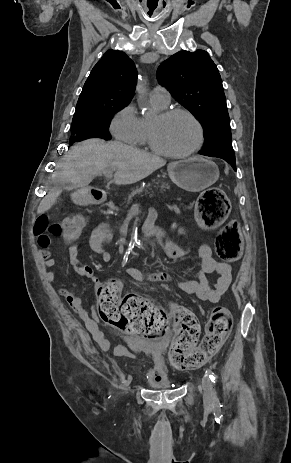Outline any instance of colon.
Here are the masks:
<instances>
[{
	"instance_id": "5ec220e1",
	"label": "colon",
	"mask_w": 291,
	"mask_h": 463,
	"mask_svg": "<svg viewBox=\"0 0 291 463\" xmlns=\"http://www.w3.org/2000/svg\"><path fill=\"white\" fill-rule=\"evenodd\" d=\"M196 216L200 226L210 229L220 225L230 211V200L219 187H212L200 194L196 202ZM82 219L71 214L62 222L50 223L46 215L37 218L34 233L37 237L52 234L66 240L78 238L83 231ZM218 257L225 262H236L241 252V236L237 221H231L218 233L215 242ZM100 319L120 330L147 338H159L168 329L167 313L147 299L122 296V284L109 279L96 290ZM175 325V334L168 353L173 367L190 370L202 366L220 348L228 337L233 317L222 306L216 307L205 327V334L197 345L200 325L193 312L174 306L169 312Z\"/></svg>"
}]
</instances>
